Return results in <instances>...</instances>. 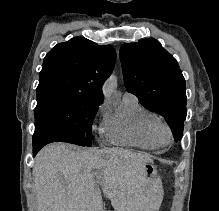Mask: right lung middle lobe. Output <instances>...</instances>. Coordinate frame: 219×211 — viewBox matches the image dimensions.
<instances>
[{
	"label": "right lung middle lobe",
	"instance_id": "dd1d6c3e",
	"mask_svg": "<svg viewBox=\"0 0 219 211\" xmlns=\"http://www.w3.org/2000/svg\"><path fill=\"white\" fill-rule=\"evenodd\" d=\"M101 103L60 92L37 95L34 136L57 134L89 147L92 122Z\"/></svg>",
	"mask_w": 219,
	"mask_h": 211
}]
</instances>
